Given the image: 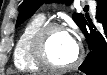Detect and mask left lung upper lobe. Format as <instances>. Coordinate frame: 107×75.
Wrapping results in <instances>:
<instances>
[{
  "instance_id": "1",
  "label": "left lung upper lobe",
  "mask_w": 107,
  "mask_h": 75,
  "mask_svg": "<svg viewBox=\"0 0 107 75\" xmlns=\"http://www.w3.org/2000/svg\"><path fill=\"white\" fill-rule=\"evenodd\" d=\"M44 2H66L67 4H70L72 0H24L20 8L17 25L21 24L30 16H32L39 6ZM73 20L80 28H82L86 22L84 16L79 13L73 14Z\"/></svg>"
}]
</instances>
